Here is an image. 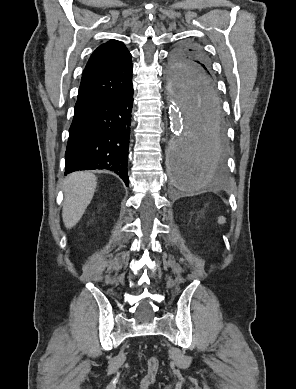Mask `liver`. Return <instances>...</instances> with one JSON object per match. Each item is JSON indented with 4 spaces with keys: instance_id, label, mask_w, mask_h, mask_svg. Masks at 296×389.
I'll return each instance as SVG.
<instances>
[{
    "instance_id": "6515ba94",
    "label": "liver",
    "mask_w": 296,
    "mask_h": 389,
    "mask_svg": "<svg viewBox=\"0 0 296 389\" xmlns=\"http://www.w3.org/2000/svg\"><path fill=\"white\" fill-rule=\"evenodd\" d=\"M96 185L97 177L90 172H74L66 177L62 209L66 228L70 229L79 222L94 196Z\"/></svg>"
}]
</instances>
